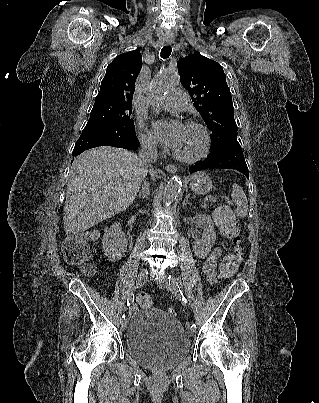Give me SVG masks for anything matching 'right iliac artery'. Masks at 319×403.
I'll return each mask as SVG.
<instances>
[{
  "label": "right iliac artery",
  "mask_w": 319,
  "mask_h": 403,
  "mask_svg": "<svg viewBox=\"0 0 319 403\" xmlns=\"http://www.w3.org/2000/svg\"><path fill=\"white\" fill-rule=\"evenodd\" d=\"M134 302V294H130L127 299V307H129ZM125 320V314L122 315L121 322Z\"/></svg>",
  "instance_id": "82829eb1"
}]
</instances>
